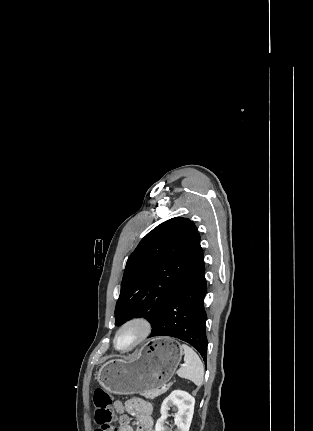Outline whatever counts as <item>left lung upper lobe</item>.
<instances>
[{
	"label": "left lung upper lobe",
	"instance_id": "1",
	"mask_svg": "<svg viewBox=\"0 0 313 431\" xmlns=\"http://www.w3.org/2000/svg\"><path fill=\"white\" fill-rule=\"evenodd\" d=\"M203 261L200 235L188 218L169 219L129 256L115 308V325L144 315L153 325L169 299Z\"/></svg>",
	"mask_w": 313,
	"mask_h": 431
}]
</instances>
